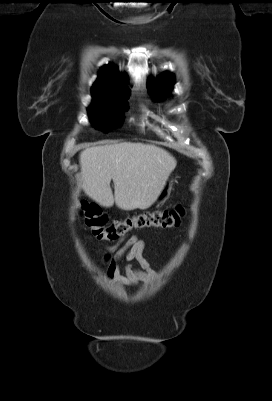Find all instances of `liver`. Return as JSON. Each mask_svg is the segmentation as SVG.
Masks as SVG:
<instances>
[{
	"instance_id": "6515ba94",
	"label": "liver",
	"mask_w": 272,
	"mask_h": 401,
	"mask_svg": "<svg viewBox=\"0 0 272 401\" xmlns=\"http://www.w3.org/2000/svg\"><path fill=\"white\" fill-rule=\"evenodd\" d=\"M176 165L169 152L152 144L121 142L88 147L80 153L85 194L104 207L115 202L128 211L149 208Z\"/></svg>"
}]
</instances>
